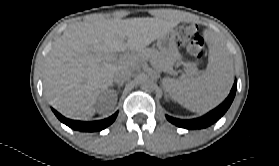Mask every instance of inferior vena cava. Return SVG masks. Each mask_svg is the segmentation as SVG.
<instances>
[{
	"mask_svg": "<svg viewBox=\"0 0 279 166\" xmlns=\"http://www.w3.org/2000/svg\"><path fill=\"white\" fill-rule=\"evenodd\" d=\"M132 76V69L130 67H122L114 74V81L117 83L124 82Z\"/></svg>",
	"mask_w": 279,
	"mask_h": 166,
	"instance_id": "obj_1",
	"label": "inferior vena cava"
}]
</instances>
